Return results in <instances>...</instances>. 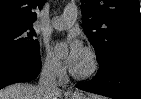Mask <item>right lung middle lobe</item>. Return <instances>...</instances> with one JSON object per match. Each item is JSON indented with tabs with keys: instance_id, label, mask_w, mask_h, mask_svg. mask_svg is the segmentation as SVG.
I'll use <instances>...</instances> for the list:
<instances>
[{
	"instance_id": "1",
	"label": "right lung middle lobe",
	"mask_w": 141,
	"mask_h": 99,
	"mask_svg": "<svg viewBox=\"0 0 141 99\" xmlns=\"http://www.w3.org/2000/svg\"><path fill=\"white\" fill-rule=\"evenodd\" d=\"M34 36L31 23H0V55L38 54L39 43Z\"/></svg>"
}]
</instances>
